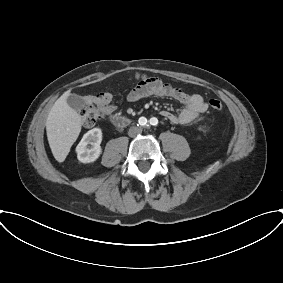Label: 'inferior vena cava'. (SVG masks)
I'll return each mask as SVG.
<instances>
[{
    "label": "inferior vena cava",
    "mask_w": 283,
    "mask_h": 283,
    "mask_svg": "<svg viewBox=\"0 0 283 283\" xmlns=\"http://www.w3.org/2000/svg\"><path fill=\"white\" fill-rule=\"evenodd\" d=\"M142 132V129L140 127H130L128 131V135L130 137H135L136 135L140 134Z\"/></svg>",
    "instance_id": "602c4592"
}]
</instances>
